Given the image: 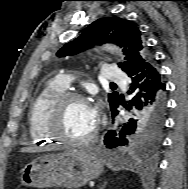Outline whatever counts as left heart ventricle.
Instances as JSON below:
<instances>
[{
  "instance_id": "obj_1",
  "label": "left heart ventricle",
  "mask_w": 188,
  "mask_h": 189,
  "mask_svg": "<svg viewBox=\"0 0 188 189\" xmlns=\"http://www.w3.org/2000/svg\"><path fill=\"white\" fill-rule=\"evenodd\" d=\"M96 122L90 114V106L86 102L74 101L65 109L61 131L72 138H81L90 133Z\"/></svg>"
}]
</instances>
